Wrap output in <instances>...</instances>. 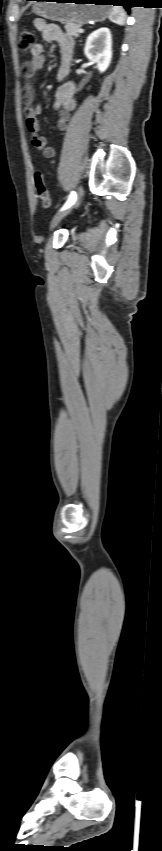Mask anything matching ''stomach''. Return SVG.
Returning <instances> with one entry per match:
<instances>
[{"mask_svg": "<svg viewBox=\"0 0 162 851\" xmlns=\"http://www.w3.org/2000/svg\"><path fill=\"white\" fill-rule=\"evenodd\" d=\"M47 1L39 0L38 2H34L33 12L38 16L52 21L83 25L91 21H103L109 16L111 11V7L102 5L104 3L101 0Z\"/></svg>", "mask_w": 162, "mask_h": 851, "instance_id": "obj_1", "label": "stomach"}]
</instances>
